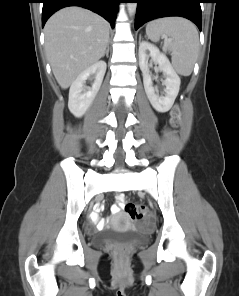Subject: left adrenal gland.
<instances>
[{
    "label": "left adrenal gland",
    "mask_w": 239,
    "mask_h": 296,
    "mask_svg": "<svg viewBox=\"0 0 239 296\" xmlns=\"http://www.w3.org/2000/svg\"><path fill=\"white\" fill-rule=\"evenodd\" d=\"M140 41H141V34L139 35V43H140Z\"/></svg>",
    "instance_id": "left-adrenal-gland-1"
}]
</instances>
